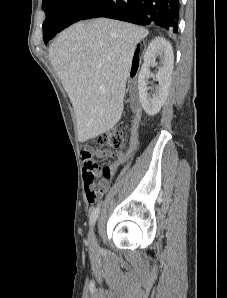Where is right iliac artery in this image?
Returning a JSON list of instances; mask_svg holds the SVG:
<instances>
[{"instance_id": "right-iliac-artery-1", "label": "right iliac artery", "mask_w": 227, "mask_h": 298, "mask_svg": "<svg viewBox=\"0 0 227 298\" xmlns=\"http://www.w3.org/2000/svg\"><path fill=\"white\" fill-rule=\"evenodd\" d=\"M99 212H100V209L99 207L95 208L90 216V226H93L96 219L98 218V215H99Z\"/></svg>"}]
</instances>
